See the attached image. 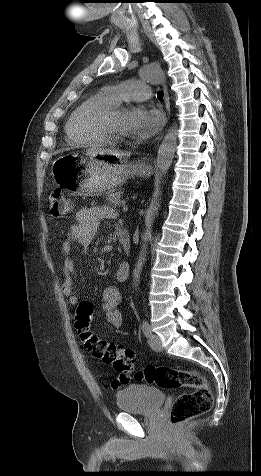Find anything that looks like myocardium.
Masks as SVG:
<instances>
[{"label": "myocardium", "instance_id": "myocardium-1", "mask_svg": "<svg viewBox=\"0 0 261 476\" xmlns=\"http://www.w3.org/2000/svg\"><path fill=\"white\" fill-rule=\"evenodd\" d=\"M126 110L123 104L114 103L102 109L95 111L89 119L91 127L102 136L106 137L108 140L119 141L125 140L126 135L116 131L111 123L113 116L120 112Z\"/></svg>", "mask_w": 261, "mask_h": 476}]
</instances>
